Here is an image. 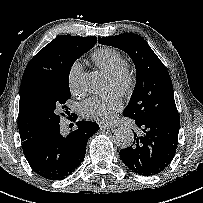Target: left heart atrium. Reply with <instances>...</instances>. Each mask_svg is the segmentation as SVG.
I'll return each instance as SVG.
<instances>
[{
	"mask_svg": "<svg viewBox=\"0 0 203 203\" xmlns=\"http://www.w3.org/2000/svg\"><path fill=\"white\" fill-rule=\"evenodd\" d=\"M120 109L121 103L115 98L92 97L83 102L81 106L82 114L85 117L101 121L113 119L116 112Z\"/></svg>",
	"mask_w": 203,
	"mask_h": 203,
	"instance_id": "obj_1",
	"label": "left heart atrium"
}]
</instances>
